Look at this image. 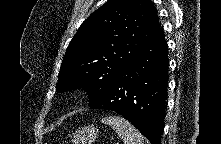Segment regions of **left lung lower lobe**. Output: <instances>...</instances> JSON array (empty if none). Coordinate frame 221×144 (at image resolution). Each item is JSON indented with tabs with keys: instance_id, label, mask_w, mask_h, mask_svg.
<instances>
[{
	"instance_id": "0a47b994",
	"label": "left lung lower lobe",
	"mask_w": 221,
	"mask_h": 144,
	"mask_svg": "<svg viewBox=\"0 0 221 144\" xmlns=\"http://www.w3.org/2000/svg\"><path fill=\"white\" fill-rule=\"evenodd\" d=\"M168 66V45L160 27L90 108L123 115L151 144H160L164 130Z\"/></svg>"
}]
</instances>
